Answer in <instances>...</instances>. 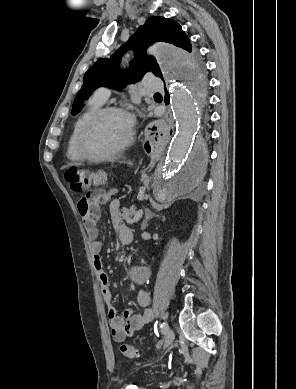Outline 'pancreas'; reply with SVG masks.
Masks as SVG:
<instances>
[{
	"label": "pancreas",
	"mask_w": 296,
	"mask_h": 389,
	"mask_svg": "<svg viewBox=\"0 0 296 389\" xmlns=\"http://www.w3.org/2000/svg\"><path fill=\"white\" fill-rule=\"evenodd\" d=\"M135 214H136V211H135L134 207H131L130 209L124 207V208L121 209V213H120L119 219L121 221H125L127 224H133L134 220H133L132 217Z\"/></svg>",
	"instance_id": "pancreas-1"
}]
</instances>
